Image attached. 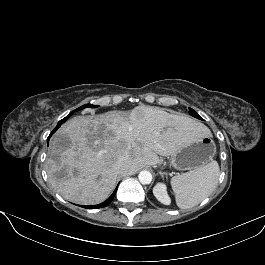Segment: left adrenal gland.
Segmentation results:
<instances>
[{
  "mask_svg": "<svg viewBox=\"0 0 265 265\" xmlns=\"http://www.w3.org/2000/svg\"><path fill=\"white\" fill-rule=\"evenodd\" d=\"M160 173V175L163 177L164 175H165V173L164 172H159Z\"/></svg>",
  "mask_w": 265,
  "mask_h": 265,
  "instance_id": "left-adrenal-gland-1",
  "label": "left adrenal gland"
}]
</instances>
